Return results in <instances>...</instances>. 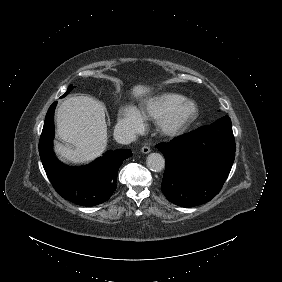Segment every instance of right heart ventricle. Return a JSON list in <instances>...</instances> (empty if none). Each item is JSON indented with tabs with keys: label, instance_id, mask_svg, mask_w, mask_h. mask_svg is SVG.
Segmentation results:
<instances>
[{
	"label": "right heart ventricle",
	"instance_id": "e07e8e85",
	"mask_svg": "<svg viewBox=\"0 0 282 282\" xmlns=\"http://www.w3.org/2000/svg\"><path fill=\"white\" fill-rule=\"evenodd\" d=\"M179 96H162L154 101L149 107V113L155 117H165L173 108L182 102Z\"/></svg>",
	"mask_w": 282,
	"mask_h": 282
}]
</instances>
